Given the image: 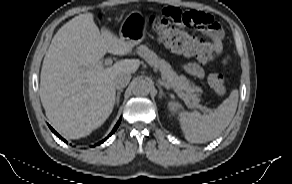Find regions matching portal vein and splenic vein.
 <instances>
[{
	"label": "portal vein and splenic vein",
	"mask_w": 292,
	"mask_h": 184,
	"mask_svg": "<svg viewBox=\"0 0 292 184\" xmlns=\"http://www.w3.org/2000/svg\"><path fill=\"white\" fill-rule=\"evenodd\" d=\"M113 61L111 58H107L104 62L105 66H110L112 65ZM174 91L178 94L179 97L183 98L184 94L183 93H180L178 90L174 89ZM185 101V103H187V101L185 99H183ZM199 106V105H198ZM200 109L202 110H205V111H208L207 108L205 107H202V106H199Z\"/></svg>",
	"instance_id": "18ae733b"
}]
</instances>
